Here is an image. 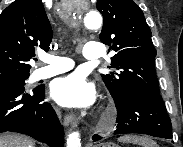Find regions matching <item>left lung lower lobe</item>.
<instances>
[{
    "label": "left lung lower lobe",
    "mask_w": 183,
    "mask_h": 147,
    "mask_svg": "<svg viewBox=\"0 0 183 147\" xmlns=\"http://www.w3.org/2000/svg\"><path fill=\"white\" fill-rule=\"evenodd\" d=\"M115 105L118 112L116 134L138 133L172 138L171 121L160 94L131 91ZM99 139V135L93 136V140Z\"/></svg>",
    "instance_id": "1"
}]
</instances>
